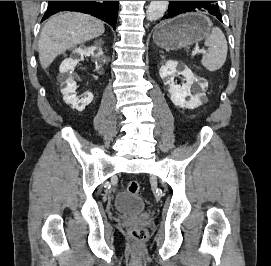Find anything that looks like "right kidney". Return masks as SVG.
<instances>
[{
    "mask_svg": "<svg viewBox=\"0 0 271 266\" xmlns=\"http://www.w3.org/2000/svg\"><path fill=\"white\" fill-rule=\"evenodd\" d=\"M101 42V41H100ZM84 56H92L96 62V68H101L103 62V51L98 45L90 47L76 48L69 58H66L60 65V77L59 80L63 88L61 93L63 94V100L66 104L71 105L73 109L83 111L87 105H89L94 96L91 92H86L81 99L76 96L77 85L75 82V76L73 71L80 59Z\"/></svg>",
    "mask_w": 271,
    "mask_h": 266,
    "instance_id": "obj_1",
    "label": "right kidney"
}]
</instances>
